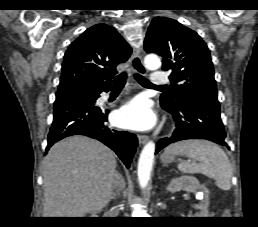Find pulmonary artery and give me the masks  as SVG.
I'll return each instance as SVG.
<instances>
[{
	"mask_svg": "<svg viewBox=\"0 0 258 227\" xmlns=\"http://www.w3.org/2000/svg\"><path fill=\"white\" fill-rule=\"evenodd\" d=\"M169 82L168 76L165 73L153 72L151 75V83L153 85H164ZM109 98L108 95H104L102 99L105 101Z\"/></svg>",
	"mask_w": 258,
	"mask_h": 227,
	"instance_id": "e3ab8cb5",
	"label": "pulmonary artery"
}]
</instances>
